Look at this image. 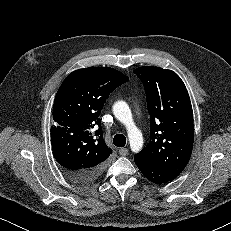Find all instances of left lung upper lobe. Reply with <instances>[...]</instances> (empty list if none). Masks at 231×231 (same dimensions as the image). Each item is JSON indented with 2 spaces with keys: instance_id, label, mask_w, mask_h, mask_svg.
I'll use <instances>...</instances> for the list:
<instances>
[{
  "instance_id": "obj_1",
  "label": "left lung upper lobe",
  "mask_w": 231,
  "mask_h": 231,
  "mask_svg": "<svg viewBox=\"0 0 231 231\" xmlns=\"http://www.w3.org/2000/svg\"><path fill=\"white\" fill-rule=\"evenodd\" d=\"M144 85L150 114V143L137 155L156 167L182 172L193 141V112L187 89L173 71L144 66L134 70Z\"/></svg>"
}]
</instances>
